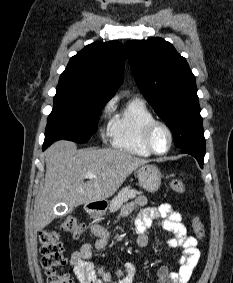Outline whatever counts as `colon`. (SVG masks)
Returning <instances> with one entry per match:
<instances>
[{"label":"colon","mask_w":233,"mask_h":283,"mask_svg":"<svg viewBox=\"0 0 233 283\" xmlns=\"http://www.w3.org/2000/svg\"><path fill=\"white\" fill-rule=\"evenodd\" d=\"M170 187L177 193H183L185 185L182 180L173 178ZM193 229L197 238L204 239V226L199 217L193 218ZM59 231L72 233L79 238L85 232V225L75 218L68 217L60 225ZM41 264L46 271L47 283H74L72 277L63 271L66 258L63 254V246L59 241V232L53 228H45L39 233Z\"/></svg>","instance_id":"5ec220e1"}]
</instances>
